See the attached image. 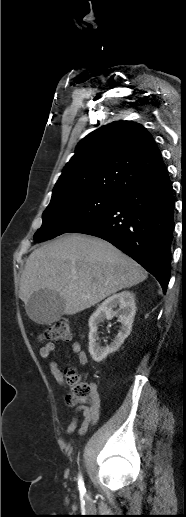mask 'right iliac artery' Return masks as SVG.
<instances>
[{"mask_svg": "<svg viewBox=\"0 0 186 517\" xmlns=\"http://www.w3.org/2000/svg\"><path fill=\"white\" fill-rule=\"evenodd\" d=\"M78 485H79V490L80 491H84L85 490L83 478H82L81 475L78 478Z\"/></svg>", "mask_w": 186, "mask_h": 517, "instance_id": "1", "label": "right iliac artery"}]
</instances>
